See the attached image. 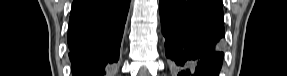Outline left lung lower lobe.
<instances>
[{"instance_id": "left-lung-lower-lobe-1", "label": "left lung lower lobe", "mask_w": 287, "mask_h": 76, "mask_svg": "<svg viewBox=\"0 0 287 76\" xmlns=\"http://www.w3.org/2000/svg\"><path fill=\"white\" fill-rule=\"evenodd\" d=\"M165 54L179 76H217L224 37L221 0H160Z\"/></svg>"}]
</instances>
